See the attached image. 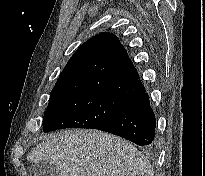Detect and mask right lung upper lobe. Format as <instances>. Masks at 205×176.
<instances>
[{
	"instance_id": "obj_1",
	"label": "right lung upper lobe",
	"mask_w": 205,
	"mask_h": 176,
	"mask_svg": "<svg viewBox=\"0 0 205 176\" xmlns=\"http://www.w3.org/2000/svg\"><path fill=\"white\" fill-rule=\"evenodd\" d=\"M136 68L112 33H100L83 43L61 72L51 96L86 91L130 99L143 92Z\"/></svg>"
}]
</instances>
